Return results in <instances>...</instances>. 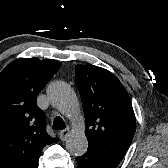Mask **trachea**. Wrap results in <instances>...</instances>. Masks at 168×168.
I'll list each match as a JSON object with an SVG mask.
<instances>
[{
	"label": "trachea",
	"mask_w": 168,
	"mask_h": 168,
	"mask_svg": "<svg viewBox=\"0 0 168 168\" xmlns=\"http://www.w3.org/2000/svg\"><path fill=\"white\" fill-rule=\"evenodd\" d=\"M65 128V123L60 116H57L53 121V129L62 130Z\"/></svg>",
	"instance_id": "1"
}]
</instances>
